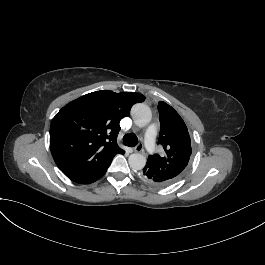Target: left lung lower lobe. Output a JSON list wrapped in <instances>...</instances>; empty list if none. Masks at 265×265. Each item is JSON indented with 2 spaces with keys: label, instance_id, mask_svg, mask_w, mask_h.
<instances>
[{
  "label": "left lung lower lobe",
  "instance_id": "obj_1",
  "mask_svg": "<svg viewBox=\"0 0 265 265\" xmlns=\"http://www.w3.org/2000/svg\"><path fill=\"white\" fill-rule=\"evenodd\" d=\"M148 173L143 169V179L146 181V182H148V183H150V184H153V185H158V184H156V183H154L148 176ZM160 186V185H159Z\"/></svg>",
  "mask_w": 265,
  "mask_h": 265
}]
</instances>
